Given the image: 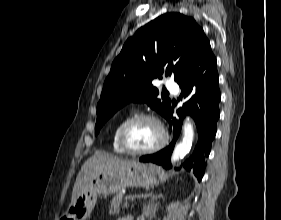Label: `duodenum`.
Listing matches in <instances>:
<instances>
[{"mask_svg":"<svg viewBox=\"0 0 281 220\" xmlns=\"http://www.w3.org/2000/svg\"><path fill=\"white\" fill-rule=\"evenodd\" d=\"M121 220H131V219H128V218H123V219H121Z\"/></svg>","mask_w":281,"mask_h":220,"instance_id":"duodenum-1","label":"duodenum"}]
</instances>
